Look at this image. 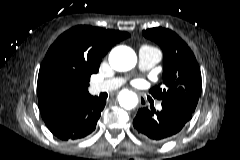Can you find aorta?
<instances>
[{
    "instance_id": "1",
    "label": "aorta",
    "mask_w": 240,
    "mask_h": 160,
    "mask_svg": "<svg viewBox=\"0 0 240 160\" xmlns=\"http://www.w3.org/2000/svg\"><path fill=\"white\" fill-rule=\"evenodd\" d=\"M137 62L135 52L127 46H117L113 48L109 54L110 66L116 71H128L132 69ZM121 107L131 110L138 103L137 95L129 90H123L118 96Z\"/></svg>"
}]
</instances>
